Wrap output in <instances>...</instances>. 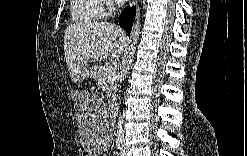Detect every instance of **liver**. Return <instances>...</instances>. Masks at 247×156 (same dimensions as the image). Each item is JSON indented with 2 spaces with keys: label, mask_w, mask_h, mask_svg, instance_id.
Masks as SVG:
<instances>
[{
  "label": "liver",
  "mask_w": 247,
  "mask_h": 156,
  "mask_svg": "<svg viewBox=\"0 0 247 156\" xmlns=\"http://www.w3.org/2000/svg\"><path fill=\"white\" fill-rule=\"evenodd\" d=\"M125 32L107 22L69 25L64 33V52L70 77L76 83L81 70L90 62L119 59L126 47Z\"/></svg>",
  "instance_id": "liver-1"
}]
</instances>
